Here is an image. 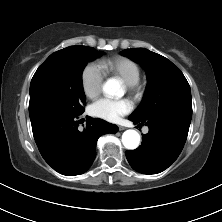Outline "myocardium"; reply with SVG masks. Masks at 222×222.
<instances>
[{"label":"myocardium","mask_w":222,"mask_h":222,"mask_svg":"<svg viewBox=\"0 0 222 222\" xmlns=\"http://www.w3.org/2000/svg\"><path fill=\"white\" fill-rule=\"evenodd\" d=\"M127 88L135 97H140L142 94L141 87L138 83L133 85H127Z\"/></svg>","instance_id":"1"}]
</instances>
